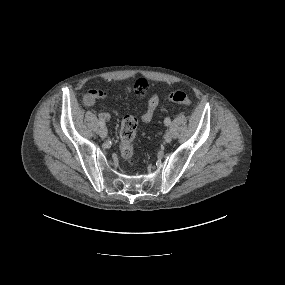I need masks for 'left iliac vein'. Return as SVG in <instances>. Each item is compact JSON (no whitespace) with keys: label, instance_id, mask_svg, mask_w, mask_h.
I'll return each mask as SVG.
<instances>
[{"label":"left iliac vein","instance_id":"4c4485c4","mask_svg":"<svg viewBox=\"0 0 285 285\" xmlns=\"http://www.w3.org/2000/svg\"><path fill=\"white\" fill-rule=\"evenodd\" d=\"M164 140H165V142H167V143H169V142L172 141V135H171L170 132H167V133L165 134Z\"/></svg>","mask_w":285,"mask_h":285}]
</instances>
